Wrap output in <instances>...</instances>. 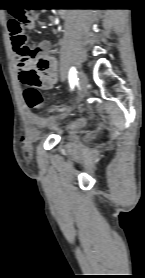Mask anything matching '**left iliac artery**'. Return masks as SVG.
<instances>
[{
  "label": "left iliac artery",
  "mask_w": 145,
  "mask_h": 278,
  "mask_svg": "<svg viewBox=\"0 0 145 278\" xmlns=\"http://www.w3.org/2000/svg\"><path fill=\"white\" fill-rule=\"evenodd\" d=\"M69 84L71 89H73L74 84L76 83V81L78 80L77 78V71L75 67H71L70 71H69Z\"/></svg>",
  "instance_id": "44dca946"
}]
</instances>
